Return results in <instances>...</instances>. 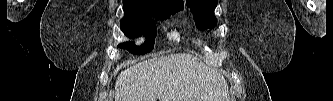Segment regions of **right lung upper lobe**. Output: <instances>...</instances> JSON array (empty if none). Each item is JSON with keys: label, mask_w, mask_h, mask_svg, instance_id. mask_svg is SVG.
I'll list each match as a JSON object with an SVG mask.
<instances>
[{"label": "right lung upper lobe", "mask_w": 333, "mask_h": 101, "mask_svg": "<svg viewBox=\"0 0 333 101\" xmlns=\"http://www.w3.org/2000/svg\"><path fill=\"white\" fill-rule=\"evenodd\" d=\"M161 1H167V2H171V3H180V4H184L183 0H161Z\"/></svg>", "instance_id": "right-lung-upper-lobe-1"}]
</instances>
